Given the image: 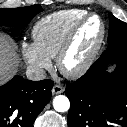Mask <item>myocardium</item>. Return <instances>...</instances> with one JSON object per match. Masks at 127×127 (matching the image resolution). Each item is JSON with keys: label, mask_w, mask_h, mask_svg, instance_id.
I'll use <instances>...</instances> for the list:
<instances>
[{"label": "myocardium", "mask_w": 127, "mask_h": 127, "mask_svg": "<svg viewBox=\"0 0 127 127\" xmlns=\"http://www.w3.org/2000/svg\"><path fill=\"white\" fill-rule=\"evenodd\" d=\"M92 17L98 18V20L101 23V33L100 36L90 51L89 55L86 57V59L78 66L74 68H69L66 65V60L69 56V53L73 47L74 41L76 39V36L81 29V27L85 24L87 20H89ZM106 36V25L104 20L96 13H87L85 16H83L81 19H79L71 28L69 33L67 34L65 40L63 41L58 54L56 56V64L59 69V71L65 75L68 78H78L85 74L88 69L91 67L93 62L95 61L99 51L102 48V45L104 43Z\"/></svg>", "instance_id": "1"}]
</instances>
